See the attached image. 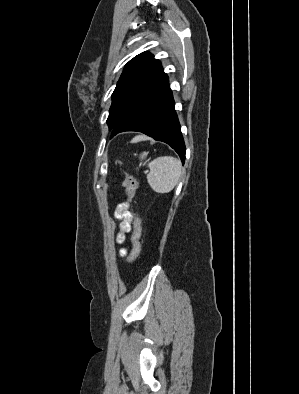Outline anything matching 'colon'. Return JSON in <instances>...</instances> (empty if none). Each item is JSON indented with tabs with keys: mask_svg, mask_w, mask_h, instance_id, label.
<instances>
[{
	"mask_svg": "<svg viewBox=\"0 0 299 394\" xmlns=\"http://www.w3.org/2000/svg\"><path fill=\"white\" fill-rule=\"evenodd\" d=\"M122 186L126 191L128 201L132 202L136 195V191L138 187L137 181L132 176H125L122 181ZM132 214H133V231L131 236L132 249L129 258L130 263L136 261L141 252V244H140L141 220L135 212H132Z\"/></svg>",
	"mask_w": 299,
	"mask_h": 394,
	"instance_id": "colon-1",
	"label": "colon"
}]
</instances>
